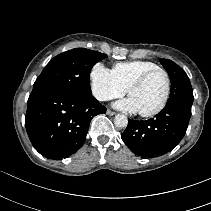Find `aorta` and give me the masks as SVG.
<instances>
[{
	"label": "aorta",
	"mask_w": 211,
	"mask_h": 211,
	"mask_svg": "<svg viewBox=\"0 0 211 211\" xmlns=\"http://www.w3.org/2000/svg\"><path fill=\"white\" fill-rule=\"evenodd\" d=\"M114 124L118 128H124L128 124V119L125 115L123 114H118L114 118Z\"/></svg>",
	"instance_id": "aorta-1"
}]
</instances>
